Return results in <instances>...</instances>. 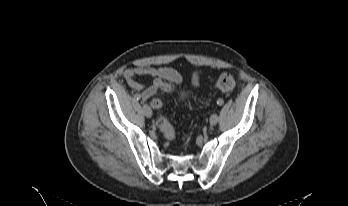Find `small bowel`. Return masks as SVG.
<instances>
[{"mask_svg":"<svg viewBox=\"0 0 348 206\" xmlns=\"http://www.w3.org/2000/svg\"><path fill=\"white\" fill-rule=\"evenodd\" d=\"M124 78L127 85L135 90L141 91V97L147 101L155 96L163 87L166 81L172 84L181 83L180 74L169 67H143L138 66L134 68H128L124 70ZM138 76H148L152 79L151 84L144 87L140 82L137 81ZM201 74L194 73L192 76V84L197 87L200 83Z\"/></svg>","mask_w":348,"mask_h":206,"instance_id":"obj_1","label":"small bowel"}]
</instances>
